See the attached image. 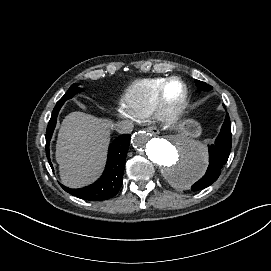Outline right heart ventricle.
<instances>
[{"mask_svg":"<svg viewBox=\"0 0 271 271\" xmlns=\"http://www.w3.org/2000/svg\"><path fill=\"white\" fill-rule=\"evenodd\" d=\"M168 77H147L134 81L123 95L125 111L134 119L143 120L157 109L158 97Z\"/></svg>","mask_w":271,"mask_h":271,"instance_id":"1","label":"right heart ventricle"}]
</instances>
